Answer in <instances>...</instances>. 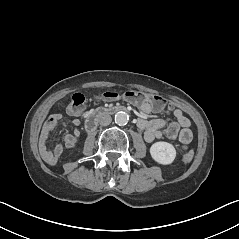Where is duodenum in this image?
<instances>
[{
  "mask_svg": "<svg viewBox=\"0 0 239 239\" xmlns=\"http://www.w3.org/2000/svg\"><path fill=\"white\" fill-rule=\"evenodd\" d=\"M125 108L122 106H115V107H99L93 111H91L87 118H86V122H85V128L87 131H93L99 120L106 115L109 114H114L120 111H124Z\"/></svg>",
  "mask_w": 239,
  "mask_h": 239,
  "instance_id": "410a0bca",
  "label": "duodenum"
}]
</instances>
